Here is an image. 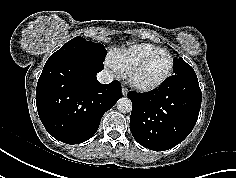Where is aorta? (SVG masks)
<instances>
[{
  "label": "aorta",
  "instance_id": "762f6f07",
  "mask_svg": "<svg viewBox=\"0 0 236 178\" xmlns=\"http://www.w3.org/2000/svg\"><path fill=\"white\" fill-rule=\"evenodd\" d=\"M117 109L121 112V113H128L132 111V102L129 98L127 97H122L120 98L117 103Z\"/></svg>",
  "mask_w": 236,
  "mask_h": 178
}]
</instances>
